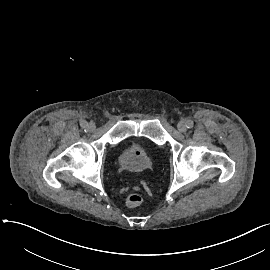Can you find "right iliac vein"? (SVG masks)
Listing matches in <instances>:
<instances>
[{
	"mask_svg": "<svg viewBox=\"0 0 270 270\" xmlns=\"http://www.w3.org/2000/svg\"><path fill=\"white\" fill-rule=\"evenodd\" d=\"M95 128H96V125H95L94 122H90V123L87 124V129H88L89 131L92 132V131L95 130Z\"/></svg>",
	"mask_w": 270,
	"mask_h": 270,
	"instance_id": "obj_1",
	"label": "right iliac vein"
}]
</instances>
